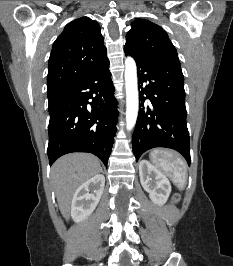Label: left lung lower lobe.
Segmentation results:
<instances>
[{"mask_svg": "<svg viewBox=\"0 0 233 266\" xmlns=\"http://www.w3.org/2000/svg\"><path fill=\"white\" fill-rule=\"evenodd\" d=\"M125 53L134 57L141 84L140 108L132 138L136 161L151 148L166 147L181 153L190 165L184 77L180 65Z\"/></svg>", "mask_w": 233, "mask_h": 266, "instance_id": "1", "label": "left lung lower lobe"}]
</instances>
